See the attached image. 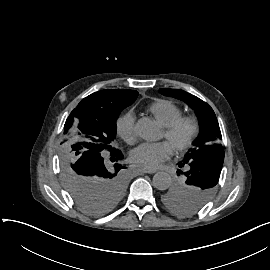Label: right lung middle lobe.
Listing matches in <instances>:
<instances>
[{
  "label": "right lung middle lobe",
  "mask_w": 270,
  "mask_h": 270,
  "mask_svg": "<svg viewBox=\"0 0 270 270\" xmlns=\"http://www.w3.org/2000/svg\"><path fill=\"white\" fill-rule=\"evenodd\" d=\"M137 96V91L129 90L121 98L102 101L95 92L81 100L65 122L58 148L60 178L75 206L86 214L103 215L125 196L127 177L119 164L123 155L112 141L116 119ZM109 153L110 161L116 162L105 165L101 154Z\"/></svg>",
  "instance_id": "dd1d6c3e"
}]
</instances>
